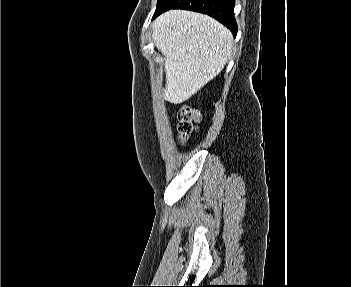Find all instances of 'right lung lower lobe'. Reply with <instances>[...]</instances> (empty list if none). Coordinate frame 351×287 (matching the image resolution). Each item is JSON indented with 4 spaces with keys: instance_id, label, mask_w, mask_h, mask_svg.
<instances>
[{
    "instance_id": "obj_1",
    "label": "right lung lower lobe",
    "mask_w": 351,
    "mask_h": 287,
    "mask_svg": "<svg viewBox=\"0 0 351 287\" xmlns=\"http://www.w3.org/2000/svg\"><path fill=\"white\" fill-rule=\"evenodd\" d=\"M234 2L235 0H161L152 20L170 9L191 10L215 18L228 27L233 35L236 36L237 24L233 12Z\"/></svg>"
}]
</instances>
